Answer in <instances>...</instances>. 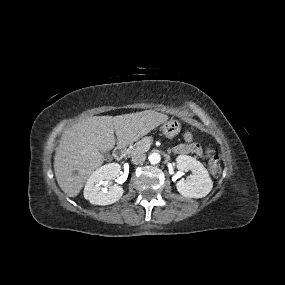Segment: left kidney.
Instances as JSON below:
<instances>
[{"instance_id":"left-kidney-1","label":"left kidney","mask_w":285,"mask_h":285,"mask_svg":"<svg viewBox=\"0 0 285 285\" xmlns=\"http://www.w3.org/2000/svg\"><path fill=\"white\" fill-rule=\"evenodd\" d=\"M177 168L180 171H192L187 180H179L176 184L178 192L188 198L205 197L212 189L213 183L207 169L201 162L187 155L176 158Z\"/></svg>"}]
</instances>
